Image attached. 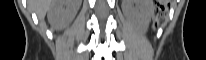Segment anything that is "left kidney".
I'll return each instance as SVG.
<instances>
[{"instance_id":"1","label":"left kidney","mask_w":206,"mask_h":60,"mask_svg":"<svg viewBox=\"0 0 206 60\" xmlns=\"http://www.w3.org/2000/svg\"><path fill=\"white\" fill-rule=\"evenodd\" d=\"M133 0H124L123 10L124 13L143 30H145L151 20V15L153 11L152 0H135L137 6L134 8L132 6Z\"/></svg>"}]
</instances>
